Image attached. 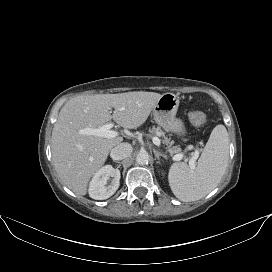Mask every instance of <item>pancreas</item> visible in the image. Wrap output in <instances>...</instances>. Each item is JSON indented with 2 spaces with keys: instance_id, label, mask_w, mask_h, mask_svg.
I'll use <instances>...</instances> for the list:
<instances>
[{
  "instance_id": "cf45deb5",
  "label": "pancreas",
  "mask_w": 272,
  "mask_h": 272,
  "mask_svg": "<svg viewBox=\"0 0 272 272\" xmlns=\"http://www.w3.org/2000/svg\"><path fill=\"white\" fill-rule=\"evenodd\" d=\"M149 131H150V133H153L156 136L163 138L162 142H163V144L167 145V151L170 153V155L181 152V149L178 146L171 147L172 143L170 142V139L165 135L164 131H162L161 128L153 127L152 130H149Z\"/></svg>"
}]
</instances>
